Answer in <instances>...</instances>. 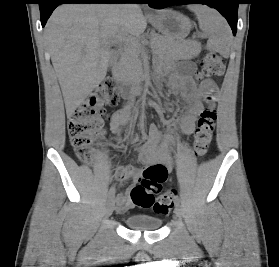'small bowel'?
Masks as SVG:
<instances>
[{"mask_svg":"<svg viewBox=\"0 0 279 267\" xmlns=\"http://www.w3.org/2000/svg\"><path fill=\"white\" fill-rule=\"evenodd\" d=\"M173 65H159L158 71H171ZM196 67L193 62L186 61L179 70L175 71L171 77V87L173 91L180 94L185 105L182 109V116L179 121L170 119L168 128L170 135L168 139H163L156 125L149 126L146 134V140L139 147V161L149 166H159L165 170L166 178L172 168L169 146L175 141V132L177 127L185 134H191L195 128L198 114L203 107V96L210 90L215 88V83L211 80H201L196 82L193 75ZM131 109L122 110L118 116L111 120L110 126L113 133L121 135L122 128L131 126L130 122ZM141 137L136 130H131L130 139L137 141ZM140 176V171L132 164L121 167L116 172V177L122 180L135 182ZM164 180V181H165ZM134 206L129 191L120 193L116 197V208L119 212H127Z\"/></svg>","mask_w":279,"mask_h":267,"instance_id":"small-bowel-1","label":"small bowel"}]
</instances>
